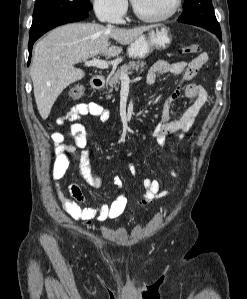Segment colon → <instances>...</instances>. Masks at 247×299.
<instances>
[{
  "instance_id": "1",
  "label": "colon",
  "mask_w": 247,
  "mask_h": 299,
  "mask_svg": "<svg viewBox=\"0 0 247 299\" xmlns=\"http://www.w3.org/2000/svg\"><path fill=\"white\" fill-rule=\"evenodd\" d=\"M201 51L199 44H190L181 48L180 52L184 55H194ZM84 94V87L80 84L73 85L67 91L69 98L77 100L80 99Z\"/></svg>"
}]
</instances>
